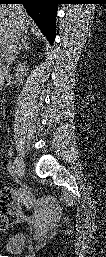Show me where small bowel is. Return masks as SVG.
<instances>
[{
    "label": "small bowel",
    "instance_id": "c3829d8e",
    "mask_svg": "<svg viewBox=\"0 0 106 257\" xmlns=\"http://www.w3.org/2000/svg\"><path fill=\"white\" fill-rule=\"evenodd\" d=\"M14 193H5L0 201V229L4 230L8 225L17 221L28 219L22 209L16 206L14 202ZM38 213L35 211L34 219H37Z\"/></svg>",
    "mask_w": 106,
    "mask_h": 257
}]
</instances>
